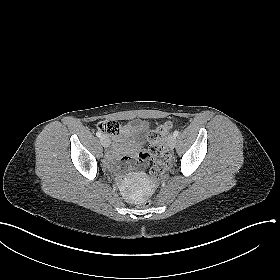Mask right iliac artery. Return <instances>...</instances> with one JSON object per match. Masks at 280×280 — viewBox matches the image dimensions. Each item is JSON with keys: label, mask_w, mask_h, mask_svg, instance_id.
I'll list each match as a JSON object with an SVG mask.
<instances>
[{"label": "right iliac artery", "mask_w": 280, "mask_h": 280, "mask_svg": "<svg viewBox=\"0 0 280 280\" xmlns=\"http://www.w3.org/2000/svg\"><path fill=\"white\" fill-rule=\"evenodd\" d=\"M96 136H97V137H99V138H100V137H102L101 132H99V131H98V132H96Z\"/></svg>", "instance_id": "1"}]
</instances>
